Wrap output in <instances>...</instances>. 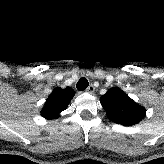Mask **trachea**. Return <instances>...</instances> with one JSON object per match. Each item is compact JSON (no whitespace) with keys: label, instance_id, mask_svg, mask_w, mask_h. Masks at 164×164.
Segmentation results:
<instances>
[{"label":"trachea","instance_id":"trachea-1","mask_svg":"<svg viewBox=\"0 0 164 164\" xmlns=\"http://www.w3.org/2000/svg\"><path fill=\"white\" fill-rule=\"evenodd\" d=\"M88 85V80L83 77L77 82L76 87L78 90H85L88 87Z\"/></svg>","mask_w":164,"mask_h":164}]
</instances>
